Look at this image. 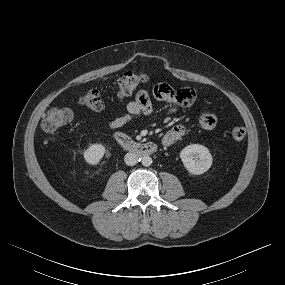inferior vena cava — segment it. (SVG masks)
I'll list each match as a JSON object with an SVG mask.
<instances>
[{
    "mask_svg": "<svg viewBox=\"0 0 285 285\" xmlns=\"http://www.w3.org/2000/svg\"><path fill=\"white\" fill-rule=\"evenodd\" d=\"M124 161H125V163H126L127 165L133 166V165H135V164L137 163V161H138V156H137L136 154H134V153L129 152V153H127V154L125 155Z\"/></svg>",
    "mask_w": 285,
    "mask_h": 285,
    "instance_id": "obj_1",
    "label": "inferior vena cava"
}]
</instances>
